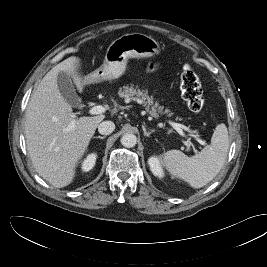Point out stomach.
<instances>
[{"label": "stomach", "instance_id": "obj_1", "mask_svg": "<svg viewBox=\"0 0 267 267\" xmlns=\"http://www.w3.org/2000/svg\"><path fill=\"white\" fill-rule=\"evenodd\" d=\"M160 45L152 37L141 33L125 34L108 47L101 67L91 75V80H112L125 72L129 58H149L160 54Z\"/></svg>", "mask_w": 267, "mask_h": 267}]
</instances>
